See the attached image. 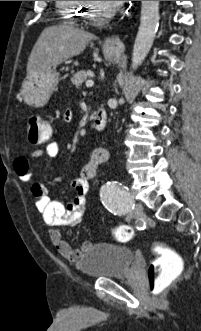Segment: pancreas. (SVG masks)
Wrapping results in <instances>:
<instances>
[{
  "mask_svg": "<svg viewBox=\"0 0 201 331\" xmlns=\"http://www.w3.org/2000/svg\"><path fill=\"white\" fill-rule=\"evenodd\" d=\"M88 75H89V72L79 71L71 78V82L77 88H80L82 86L83 82L87 81Z\"/></svg>",
  "mask_w": 201,
  "mask_h": 331,
  "instance_id": "1",
  "label": "pancreas"
}]
</instances>
